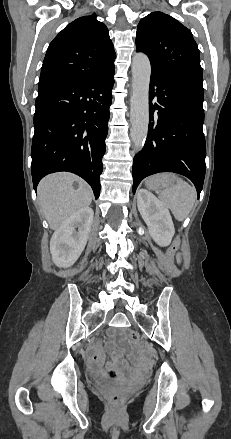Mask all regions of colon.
Listing matches in <instances>:
<instances>
[{
	"label": "colon",
	"instance_id": "colon-1",
	"mask_svg": "<svg viewBox=\"0 0 231 439\" xmlns=\"http://www.w3.org/2000/svg\"><path fill=\"white\" fill-rule=\"evenodd\" d=\"M179 240H176L171 248V251H175L178 248ZM129 338L132 342L138 344L140 342V335L138 332L132 331L129 333ZM115 382V381H114ZM127 397V393L119 388H113L109 393V400L113 405H120Z\"/></svg>",
	"mask_w": 231,
	"mask_h": 439
}]
</instances>
